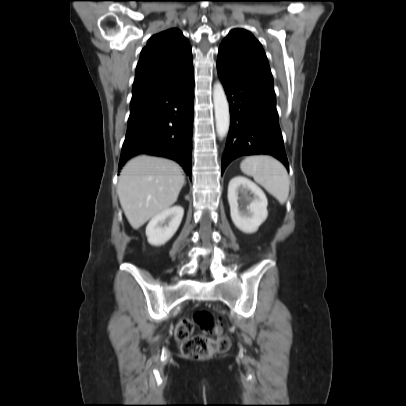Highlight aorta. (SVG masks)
Here are the masks:
<instances>
[{
  "mask_svg": "<svg viewBox=\"0 0 406 406\" xmlns=\"http://www.w3.org/2000/svg\"><path fill=\"white\" fill-rule=\"evenodd\" d=\"M213 102L215 111L216 130L218 135L222 138L228 133L229 130L230 113L227 97L224 88L220 82L214 85Z\"/></svg>",
  "mask_w": 406,
  "mask_h": 406,
  "instance_id": "762f6f07",
  "label": "aorta"
}]
</instances>
